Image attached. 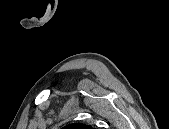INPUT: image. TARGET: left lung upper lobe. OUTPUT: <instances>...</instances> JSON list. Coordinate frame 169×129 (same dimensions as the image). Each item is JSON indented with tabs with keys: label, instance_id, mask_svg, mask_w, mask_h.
<instances>
[{
	"label": "left lung upper lobe",
	"instance_id": "5c2ea615",
	"mask_svg": "<svg viewBox=\"0 0 169 129\" xmlns=\"http://www.w3.org/2000/svg\"><path fill=\"white\" fill-rule=\"evenodd\" d=\"M91 126L85 124H70L65 127V129H90Z\"/></svg>",
	"mask_w": 169,
	"mask_h": 129
}]
</instances>
